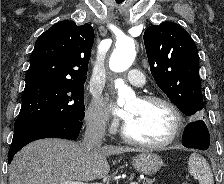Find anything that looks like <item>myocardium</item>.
Returning <instances> with one entry per match:
<instances>
[{
    "label": "myocardium",
    "instance_id": "obj_1",
    "mask_svg": "<svg viewBox=\"0 0 224 184\" xmlns=\"http://www.w3.org/2000/svg\"><path fill=\"white\" fill-rule=\"evenodd\" d=\"M139 100L145 103H160L171 111L174 120L171 133L165 140L161 142H145L132 137L128 132L127 124L125 122L121 129L122 137L131 144L150 149H162L171 145L180 136L183 130L184 120L180 109L170 99L159 95H143L139 98Z\"/></svg>",
    "mask_w": 224,
    "mask_h": 184
}]
</instances>
